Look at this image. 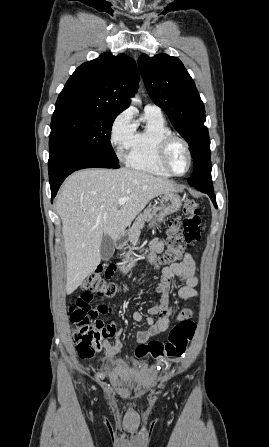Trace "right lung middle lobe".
<instances>
[{
  "label": "right lung middle lobe",
  "instance_id": "obj_1",
  "mask_svg": "<svg viewBox=\"0 0 269 447\" xmlns=\"http://www.w3.org/2000/svg\"><path fill=\"white\" fill-rule=\"evenodd\" d=\"M116 116L117 114L111 113L53 114L49 142L118 162L110 142L111 128Z\"/></svg>",
  "mask_w": 269,
  "mask_h": 447
}]
</instances>
